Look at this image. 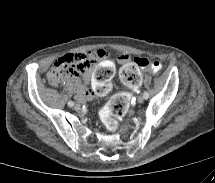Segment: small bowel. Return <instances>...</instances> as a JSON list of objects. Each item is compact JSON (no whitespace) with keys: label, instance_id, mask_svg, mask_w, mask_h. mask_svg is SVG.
<instances>
[{"label":"small bowel","instance_id":"1","mask_svg":"<svg viewBox=\"0 0 215 183\" xmlns=\"http://www.w3.org/2000/svg\"><path fill=\"white\" fill-rule=\"evenodd\" d=\"M99 61L101 62L93 71ZM121 64L129 61L127 54H121L118 57ZM56 62L68 63L72 65L73 71L55 80L52 77V70L48 73V79L51 85L57 86L59 82L71 83L75 81L76 99L84 102L92 97L95 99H105L109 97L114 88L113 76L116 73V66L108 60V55L103 49H93L87 53H72L60 57ZM90 81V90L86 84Z\"/></svg>","mask_w":215,"mask_h":183}]
</instances>
